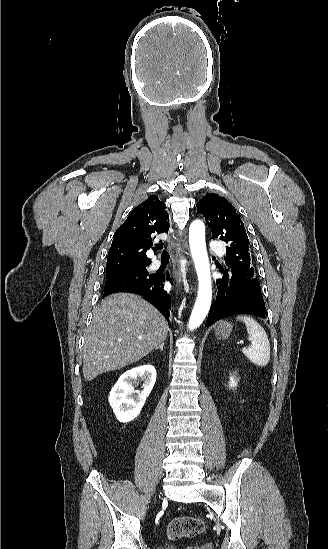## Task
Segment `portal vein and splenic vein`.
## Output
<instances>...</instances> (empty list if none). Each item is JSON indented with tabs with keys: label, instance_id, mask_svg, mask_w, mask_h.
I'll return each instance as SVG.
<instances>
[{
	"label": "portal vein and splenic vein",
	"instance_id": "obj_1",
	"mask_svg": "<svg viewBox=\"0 0 328 549\" xmlns=\"http://www.w3.org/2000/svg\"><path fill=\"white\" fill-rule=\"evenodd\" d=\"M240 343H244V341H240Z\"/></svg>",
	"mask_w": 328,
	"mask_h": 549
}]
</instances>
